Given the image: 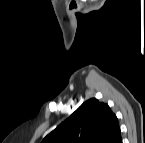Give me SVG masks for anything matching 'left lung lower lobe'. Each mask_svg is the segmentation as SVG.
<instances>
[{
	"mask_svg": "<svg viewBox=\"0 0 145 143\" xmlns=\"http://www.w3.org/2000/svg\"><path fill=\"white\" fill-rule=\"evenodd\" d=\"M117 143H122V139L120 138Z\"/></svg>",
	"mask_w": 145,
	"mask_h": 143,
	"instance_id": "1",
	"label": "left lung lower lobe"
}]
</instances>
